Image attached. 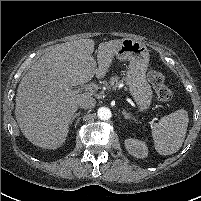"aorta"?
<instances>
[{
	"label": "aorta",
	"instance_id": "aorta-1",
	"mask_svg": "<svg viewBox=\"0 0 201 201\" xmlns=\"http://www.w3.org/2000/svg\"><path fill=\"white\" fill-rule=\"evenodd\" d=\"M98 118L101 120H108L111 118L112 113L107 107H100L97 111Z\"/></svg>",
	"mask_w": 201,
	"mask_h": 201
}]
</instances>
